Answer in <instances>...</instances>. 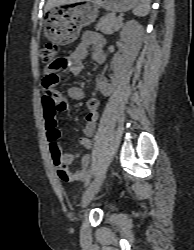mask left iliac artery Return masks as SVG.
Returning a JSON list of instances; mask_svg holds the SVG:
<instances>
[{"mask_svg":"<svg viewBox=\"0 0 194 250\" xmlns=\"http://www.w3.org/2000/svg\"><path fill=\"white\" fill-rule=\"evenodd\" d=\"M90 179H91V174H89V175L87 176V178L85 179V186H87V185L89 184Z\"/></svg>","mask_w":194,"mask_h":250,"instance_id":"left-iliac-artery-1","label":"left iliac artery"}]
</instances>
